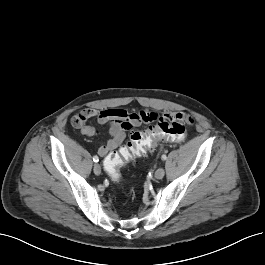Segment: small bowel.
Wrapping results in <instances>:
<instances>
[{
  "mask_svg": "<svg viewBox=\"0 0 265 265\" xmlns=\"http://www.w3.org/2000/svg\"><path fill=\"white\" fill-rule=\"evenodd\" d=\"M153 114L145 111L129 113L123 109H82L76 113L72 119L73 127L80 130L81 134L87 137H93L97 130L87 125L89 119H95L101 125L109 126L110 138L98 148V155L105 157L109 152L117 149L129 131L140 126L142 123L151 122ZM168 118H180L182 120L190 119L182 113H169Z\"/></svg>",
  "mask_w": 265,
  "mask_h": 265,
  "instance_id": "c3829d8e",
  "label": "small bowel"
}]
</instances>
